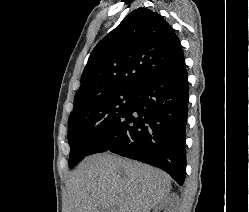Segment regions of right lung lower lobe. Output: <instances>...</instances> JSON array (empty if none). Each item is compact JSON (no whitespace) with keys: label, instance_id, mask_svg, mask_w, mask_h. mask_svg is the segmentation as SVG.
I'll use <instances>...</instances> for the list:
<instances>
[{"label":"right lung lower lobe","instance_id":"right-lung-lower-lobe-1","mask_svg":"<svg viewBox=\"0 0 249 212\" xmlns=\"http://www.w3.org/2000/svg\"><path fill=\"white\" fill-rule=\"evenodd\" d=\"M188 80L184 58L139 87L132 104L92 150L111 151L185 180Z\"/></svg>","mask_w":249,"mask_h":212}]
</instances>
